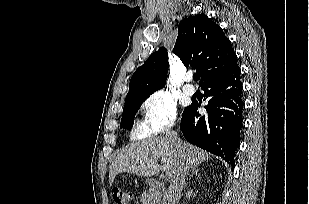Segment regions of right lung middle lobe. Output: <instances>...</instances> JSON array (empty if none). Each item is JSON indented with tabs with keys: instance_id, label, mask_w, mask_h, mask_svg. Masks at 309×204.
Instances as JSON below:
<instances>
[{
	"instance_id": "1",
	"label": "right lung middle lobe",
	"mask_w": 309,
	"mask_h": 204,
	"mask_svg": "<svg viewBox=\"0 0 309 204\" xmlns=\"http://www.w3.org/2000/svg\"><path fill=\"white\" fill-rule=\"evenodd\" d=\"M145 100L146 98H138L125 101L120 128H132L135 114Z\"/></svg>"
}]
</instances>
